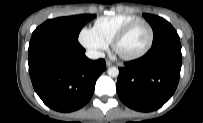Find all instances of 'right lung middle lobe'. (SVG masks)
I'll use <instances>...</instances> for the list:
<instances>
[{
    "mask_svg": "<svg viewBox=\"0 0 203 123\" xmlns=\"http://www.w3.org/2000/svg\"><path fill=\"white\" fill-rule=\"evenodd\" d=\"M94 17L95 15L83 14L47 20L34 30L32 36L51 35L77 41L83 26Z\"/></svg>",
    "mask_w": 203,
    "mask_h": 123,
    "instance_id": "right-lung-middle-lobe-1",
    "label": "right lung middle lobe"
}]
</instances>
